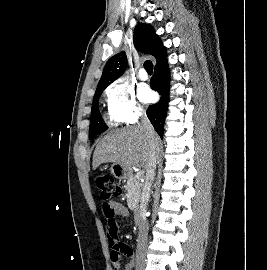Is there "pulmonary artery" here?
I'll return each instance as SVG.
<instances>
[{
    "mask_svg": "<svg viewBox=\"0 0 267 270\" xmlns=\"http://www.w3.org/2000/svg\"><path fill=\"white\" fill-rule=\"evenodd\" d=\"M138 77H139V79H141V80H147V79H148V75H147V73H146V71H145L144 68H141V69L139 70V72H138Z\"/></svg>",
    "mask_w": 267,
    "mask_h": 270,
    "instance_id": "1",
    "label": "pulmonary artery"
}]
</instances>
